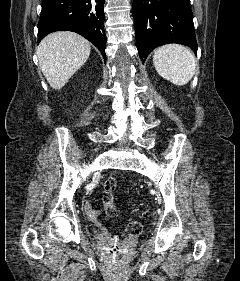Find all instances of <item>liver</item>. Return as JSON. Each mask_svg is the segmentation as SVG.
<instances>
[{
	"label": "liver",
	"instance_id": "liver-1",
	"mask_svg": "<svg viewBox=\"0 0 240 281\" xmlns=\"http://www.w3.org/2000/svg\"><path fill=\"white\" fill-rule=\"evenodd\" d=\"M91 45L84 37L68 31L54 32L39 44V67L50 86L61 89L87 61Z\"/></svg>",
	"mask_w": 240,
	"mask_h": 281
}]
</instances>
